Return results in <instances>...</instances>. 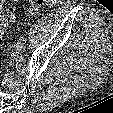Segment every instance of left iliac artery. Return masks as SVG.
<instances>
[{"label": "left iliac artery", "mask_w": 113, "mask_h": 113, "mask_svg": "<svg viewBox=\"0 0 113 113\" xmlns=\"http://www.w3.org/2000/svg\"><path fill=\"white\" fill-rule=\"evenodd\" d=\"M20 40L23 41V42H26L25 38H23V37Z\"/></svg>", "instance_id": "1"}]
</instances>
